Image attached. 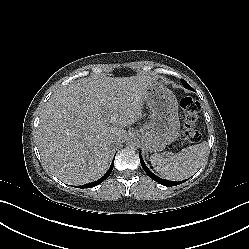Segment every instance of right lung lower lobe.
<instances>
[{
	"label": "right lung lower lobe",
	"mask_w": 249,
	"mask_h": 249,
	"mask_svg": "<svg viewBox=\"0 0 249 249\" xmlns=\"http://www.w3.org/2000/svg\"><path fill=\"white\" fill-rule=\"evenodd\" d=\"M113 165H114V160H113V163L111 164L108 172L101 179H99V180H97L95 182L89 183L87 185H82L80 187L81 188H92V187H95V186L99 185L101 182H103L105 179H107L109 177V175L111 174V171L113 169Z\"/></svg>",
	"instance_id": "98d812e1"
}]
</instances>
